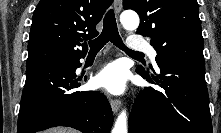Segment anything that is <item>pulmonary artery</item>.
<instances>
[{
	"label": "pulmonary artery",
	"mask_w": 221,
	"mask_h": 133,
	"mask_svg": "<svg viewBox=\"0 0 221 133\" xmlns=\"http://www.w3.org/2000/svg\"><path fill=\"white\" fill-rule=\"evenodd\" d=\"M128 47L130 50L135 51V52L144 51L148 53L151 60L156 65L155 59H156L157 53L155 49L149 43L142 40L139 36L131 37L130 40L128 41Z\"/></svg>",
	"instance_id": "pulmonary-artery-1"
}]
</instances>
